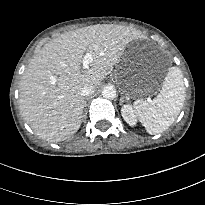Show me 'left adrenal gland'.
<instances>
[{"label":"left adrenal gland","instance_id":"obj_1","mask_svg":"<svg viewBox=\"0 0 205 205\" xmlns=\"http://www.w3.org/2000/svg\"><path fill=\"white\" fill-rule=\"evenodd\" d=\"M124 99H125V97H124V96H122V97L120 98V105H122V104H123V102L125 101Z\"/></svg>","mask_w":205,"mask_h":205}]
</instances>
